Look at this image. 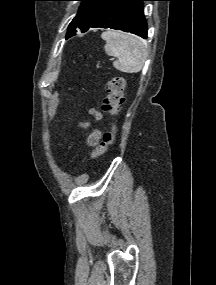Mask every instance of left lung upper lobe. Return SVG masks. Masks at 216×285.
Wrapping results in <instances>:
<instances>
[{"label": "left lung upper lobe", "instance_id": "1", "mask_svg": "<svg viewBox=\"0 0 216 285\" xmlns=\"http://www.w3.org/2000/svg\"><path fill=\"white\" fill-rule=\"evenodd\" d=\"M81 1V6L69 24L67 35L89 27L93 21L116 0H77ZM66 35V36H67Z\"/></svg>", "mask_w": 216, "mask_h": 285}]
</instances>
